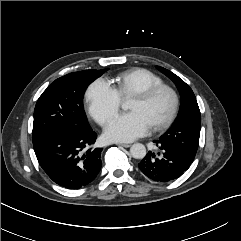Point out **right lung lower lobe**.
Listing matches in <instances>:
<instances>
[{
	"label": "right lung lower lobe",
	"mask_w": 241,
	"mask_h": 241,
	"mask_svg": "<svg viewBox=\"0 0 241 241\" xmlns=\"http://www.w3.org/2000/svg\"><path fill=\"white\" fill-rule=\"evenodd\" d=\"M96 133L63 130L33 144L38 162L52 181L79 189L95 180L101 169V148H93Z\"/></svg>",
	"instance_id": "obj_1"
}]
</instances>
